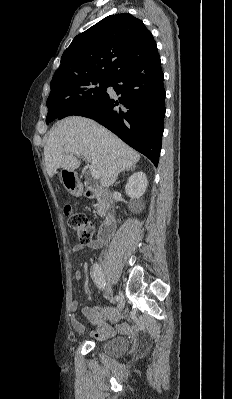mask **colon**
I'll return each mask as SVG.
<instances>
[{"mask_svg":"<svg viewBox=\"0 0 232 399\" xmlns=\"http://www.w3.org/2000/svg\"><path fill=\"white\" fill-rule=\"evenodd\" d=\"M76 205L72 202L65 204V219L68 220V228L77 233L78 241L80 244H91V236L93 235V223L86 222L88 215H76ZM82 227H85L82 230Z\"/></svg>","mask_w":232,"mask_h":399,"instance_id":"obj_1","label":"colon"}]
</instances>
